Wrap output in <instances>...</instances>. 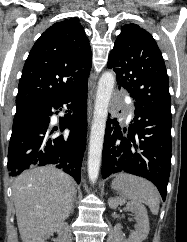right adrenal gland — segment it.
<instances>
[{
    "instance_id": "obj_1",
    "label": "right adrenal gland",
    "mask_w": 187,
    "mask_h": 242,
    "mask_svg": "<svg viewBox=\"0 0 187 242\" xmlns=\"http://www.w3.org/2000/svg\"><path fill=\"white\" fill-rule=\"evenodd\" d=\"M76 202V193L74 194V198H73V205H72V209H71V214L73 213L74 210V203Z\"/></svg>"
}]
</instances>
